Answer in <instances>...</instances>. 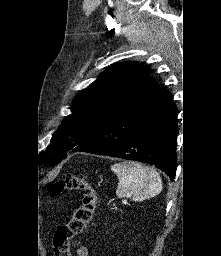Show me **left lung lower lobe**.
I'll return each instance as SVG.
<instances>
[{"mask_svg": "<svg viewBox=\"0 0 221 256\" xmlns=\"http://www.w3.org/2000/svg\"><path fill=\"white\" fill-rule=\"evenodd\" d=\"M171 94L159 88L127 114L113 120L73 151L155 165L171 180L176 173L177 110Z\"/></svg>", "mask_w": 221, "mask_h": 256, "instance_id": "0a47b994", "label": "left lung lower lobe"}]
</instances>
